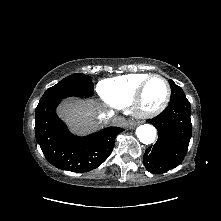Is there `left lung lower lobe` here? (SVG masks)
Here are the masks:
<instances>
[{"label":"left lung lower lobe","instance_id":"left-lung-lower-lobe-1","mask_svg":"<svg viewBox=\"0 0 221 221\" xmlns=\"http://www.w3.org/2000/svg\"><path fill=\"white\" fill-rule=\"evenodd\" d=\"M190 115V103L185 98L170 102L161 114L147 120L158 130V140L143 157V164L149 172L163 173L183 161L192 136Z\"/></svg>","mask_w":221,"mask_h":221}]
</instances>
